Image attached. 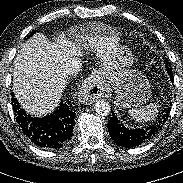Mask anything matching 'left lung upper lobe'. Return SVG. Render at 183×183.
Masks as SVG:
<instances>
[{"label": "left lung upper lobe", "mask_w": 183, "mask_h": 183, "mask_svg": "<svg viewBox=\"0 0 183 183\" xmlns=\"http://www.w3.org/2000/svg\"><path fill=\"white\" fill-rule=\"evenodd\" d=\"M168 63H169V62L167 61V62H166V65H168Z\"/></svg>", "instance_id": "1"}]
</instances>
